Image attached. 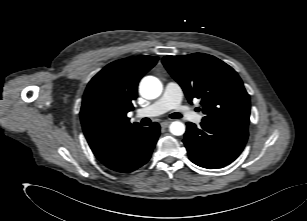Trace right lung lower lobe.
<instances>
[{"label":"right lung lower lobe","mask_w":307,"mask_h":221,"mask_svg":"<svg viewBox=\"0 0 307 221\" xmlns=\"http://www.w3.org/2000/svg\"><path fill=\"white\" fill-rule=\"evenodd\" d=\"M160 134V126L153 123L149 128L139 127L130 136L116 144L98 160L107 168L121 173H130L143 166Z\"/></svg>","instance_id":"98d812e1"}]
</instances>
